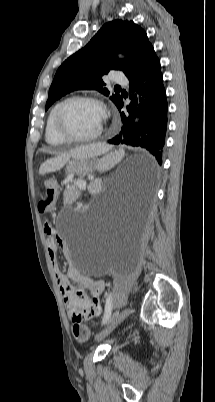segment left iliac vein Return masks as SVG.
<instances>
[{
	"instance_id": "4c4485c4",
	"label": "left iliac vein",
	"mask_w": 215,
	"mask_h": 402,
	"mask_svg": "<svg viewBox=\"0 0 215 402\" xmlns=\"http://www.w3.org/2000/svg\"><path fill=\"white\" fill-rule=\"evenodd\" d=\"M132 310L130 308L124 309L120 314L111 320L107 327L102 330L97 336L96 341L104 339L108 334H110L122 321H124L130 314Z\"/></svg>"
}]
</instances>
